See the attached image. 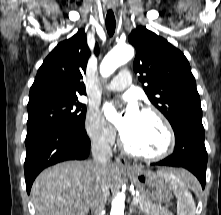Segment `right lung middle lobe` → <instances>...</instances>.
I'll list each match as a JSON object with an SVG mask.
<instances>
[{
	"instance_id": "dd1d6c3e",
	"label": "right lung middle lobe",
	"mask_w": 221,
	"mask_h": 215,
	"mask_svg": "<svg viewBox=\"0 0 221 215\" xmlns=\"http://www.w3.org/2000/svg\"><path fill=\"white\" fill-rule=\"evenodd\" d=\"M27 133L52 125L82 128L85 124L86 107L78 98L53 100L28 105Z\"/></svg>"
}]
</instances>
